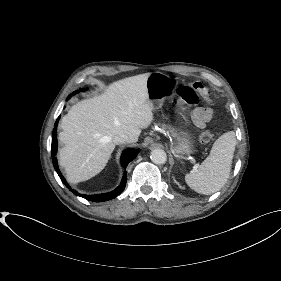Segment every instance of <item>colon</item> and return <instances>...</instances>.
<instances>
[{
	"instance_id": "obj_1",
	"label": "colon",
	"mask_w": 281,
	"mask_h": 281,
	"mask_svg": "<svg viewBox=\"0 0 281 281\" xmlns=\"http://www.w3.org/2000/svg\"><path fill=\"white\" fill-rule=\"evenodd\" d=\"M178 96L181 100L188 104L202 103L206 106L212 105V99L207 88L199 82H194L189 85L180 87ZM214 134L212 131H204L200 136L202 143H209L213 140Z\"/></svg>"
}]
</instances>
